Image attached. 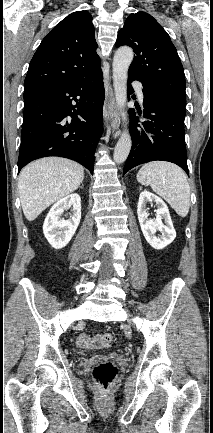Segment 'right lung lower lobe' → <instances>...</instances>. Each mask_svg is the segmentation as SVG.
<instances>
[{
    "label": "right lung lower lobe",
    "instance_id": "98d812e1",
    "mask_svg": "<svg viewBox=\"0 0 213 433\" xmlns=\"http://www.w3.org/2000/svg\"><path fill=\"white\" fill-rule=\"evenodd\" d=\"M104 97L101 68L65 86L25 87L18 172L35 159L61 156L79 162L93 174Z\"/></svg>",
    "mask_w": 213,
    "mask_h": 433
}]
</instances>
